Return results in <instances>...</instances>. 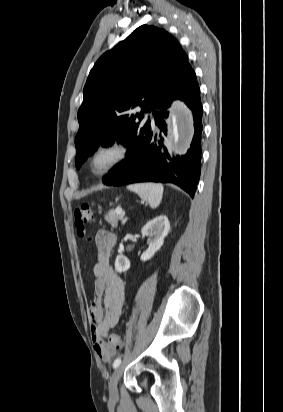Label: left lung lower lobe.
I'll list each match as a JSON object with an SVG mask.
<instances>
[{"instance_id":"1","label":"left lung lower lobe","mask_w":283,"mask_h":412,"mask_svg":"<svg viewBox=\"0 0 283 412\" xmlns=\"http://www.w3.org/2000/svg\"><path fill=\"white\" fill-rule=\"evenodd\" d=\"M183 100L193 112L195 134L191 148L184 156L171 158L163 146L161 134L155 133L151 125L142 132L133 134L127 144L128 158L113 167L103 183L109 186H120L135 182L173 183L194 197L200 178L202 105L200 89L192 70L176 86L170 99L160 105L154 114L155 124L166 135L165 111L172 100Z\"/></svg>"}]
</instances>
